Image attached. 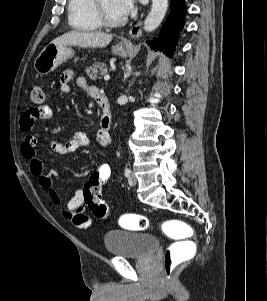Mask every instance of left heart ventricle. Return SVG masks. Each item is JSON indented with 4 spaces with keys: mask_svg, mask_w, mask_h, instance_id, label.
<instances>
[{
    "mask_svg": "<svg viewBox=\"0 0 267 301\" xmlns=\"http://www.w3.org/2000/svg\"><path fill=\"white\" fill-rule=\"evenodd\" d=\"M102 8L109 19L119 20L122 17L115 11L113 0H101Z\"/></svg>",
    "mask_w": 267,
    "mask_h": 301,
    "instance_id": "left-heart-ventricle-1",
    "label": "left heart ventricle"
}]
</instances>
